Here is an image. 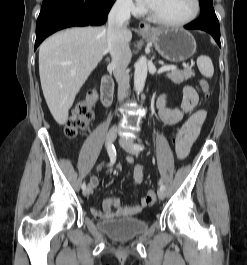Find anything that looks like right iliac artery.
Masks as SVG:
<instances>
[{
  "mask_svg": "<svg viewBox=\"0 0 247 265\" xmlns=\"http://www.w3.org/2000/svg\"><path fill=\"white\" fill-rule=\"evenodd\" d=\"M107 150H108V154H109V157H110V165H112V164H114V162L116 160V150H115L114 145L109 144ZM81 188L83 190H85L86 189V184L83 183Z\"/></svg>",
  "mask_w": 247,
  "mask_h": 265,
  "instance_id": "82829eb1",
  "label": "right iliac artery"
}]
</instances>
